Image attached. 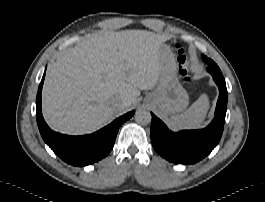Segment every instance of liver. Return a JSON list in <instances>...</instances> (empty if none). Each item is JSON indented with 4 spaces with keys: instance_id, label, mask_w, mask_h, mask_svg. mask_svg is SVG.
Masks as SVG:
<instances>
[{
    "instance_id": "6515ba94",
    "label": "liver",
    "mask_w": 265,
    "mask_h": 202,
    "mask_svg": "<svg viewBox=\"0 0 265 202\" xmlns=\"http://www.w3.org/2000/svg\"><path fill=\"white\" fill-rule=\"evenodd\" d=\"M168 38L146 30L84 36L47 73L42 111L54 131L83 135L126 110L160 81L159 49ZM120 98L118 105L114 99Z\"/></svg>"
}]
</instances>
